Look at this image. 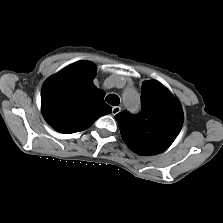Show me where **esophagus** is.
Wrapping results in <instances>:
<instances>
[{
	"label": "esophagus",
	"instance_id": "34e87169",
	"mask_svg": "<svg viewBox=\"0 0 223 223\" xmlns=\"http://www.w3.org/2000/svg\"><path fill=\"white\" fill-rule=\"evenodd\" d=\"M121 111V107L120 106H114L112 107V114L116 115Z\"/></svg>",
	"mask_w": 223,
	"mask_h": 223
}]
</instances>
